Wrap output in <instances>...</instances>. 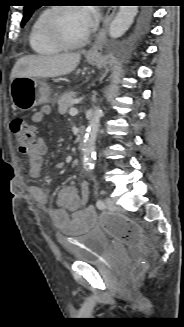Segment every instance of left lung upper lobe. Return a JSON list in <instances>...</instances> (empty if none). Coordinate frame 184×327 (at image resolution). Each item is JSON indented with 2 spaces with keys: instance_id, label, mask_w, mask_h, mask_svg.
<instances>
[{
  "instance_id": "left-lung-upper-lobe-1",
  "label": "left lung upper lobe",
  "mask_w": 184,
  "mask_h": 327,
  "mask_svg": "<svg viewBox=\"0 0 184 327\" xmlns=\"http://www.w3.org/2000/svg\"><path fill=\"white\" fill-rule=\"evenodd\" d=\"M26 3L27 4L24 6V14L21 22L22 27L29 20L34 10L39 8L38 0H27Z\"/></svg>"
}]
</instances>
